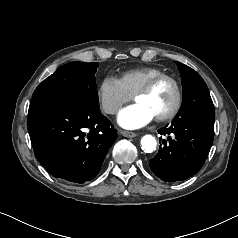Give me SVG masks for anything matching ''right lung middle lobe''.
<instances>
[{"label":"right lung middle lobe","instance_id":"1","mask_svg":"<svg viewBox=\"0 0 238 238\" xmlns=\"http://www.w3.org/2000/svg\"><path fill=\"white\" fill-rule=\"evenodd\" d=\"M98 63L70 62L58 68L34 91L33 99H70L99 107L95 73Z\"/></svg>","mask_w":238,"mask_h":238}]
</instances>
